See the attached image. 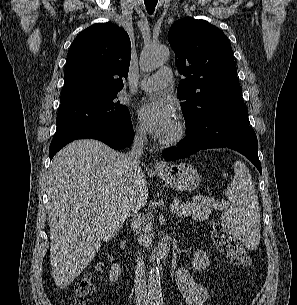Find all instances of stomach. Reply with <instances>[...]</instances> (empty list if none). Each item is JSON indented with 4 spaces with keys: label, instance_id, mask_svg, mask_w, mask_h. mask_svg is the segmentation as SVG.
Returning <instances> with one entry per match:
<instances>
[{
    "label": "stomach",
    "instance_id": "stomach-1",
    "mask_svg": "<svg viewBox=\"0 0 297 305\" xmlns=\"http://www.w3.org/2000/svg\"><path fill=\"white\" fill-rule=\"evenodd\" d=\"M158 176L177 191H190L200 184L197 170L190 164L180 163L157 170Z\"/></svg>",
    "mask_w": 297,
    "mask_h": 305
}]
</instances>
